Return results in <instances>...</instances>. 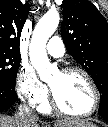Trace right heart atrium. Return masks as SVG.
<instances>
[{"instance_id":"obj_1","label":"right heart atrium","mask_w":108,"mask_h":127,"mask_svg":"<svg viewBox=\"0 0 108 127\" xmlns=\"http://www.w3.org/2000/svg\"><path fill=\"white\" fill-rule=\"evenodd\" d=\"M16 90L19 97L30 105L43 103L48 95L47 87L38 79L28 65L20 66L16 76Z\"/></svg>"}]
</instances>
